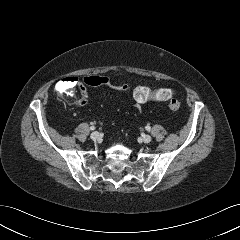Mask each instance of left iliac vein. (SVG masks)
<instances>
[{"label":"left iliac vein","instance_id":"left-iliac-vein-1","mask_svg":"<svg viewBox=\"0 0 240 240\" xmlns=\"http://www.w3.org/2000/svg\"><path fill=\"white\" fill-rule=\"evenodd\" d=\"M142 140L144 143H149V142H151L152 138L150 135H143Z\"/></svg>","mask_w":240,"mask_h":240}]
</instances>
